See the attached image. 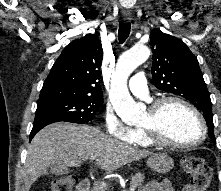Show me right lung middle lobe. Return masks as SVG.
<instances>
[{
  "instance_id": "right-lung-middle-lobe-1",
  "label": "right lung middle lobe",
  "mask_w": 221,
  "mask_h": 191,
  "mask_svg": "<svg viewBox=\"0 0 221 191\" xmlns=\"http://www.w3.org/2000/svg\"><path fill=\"white\" fill-rule=\"evenodd\" d=\"M103 98H67L37 102V110L45 111L59 121L85 124L92 121Z\"/></svg>"
}]
</instances>
